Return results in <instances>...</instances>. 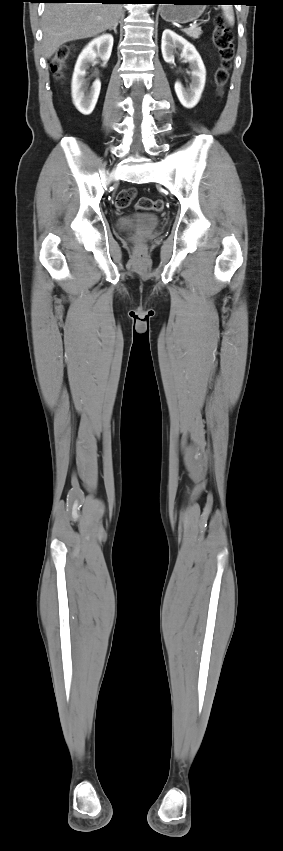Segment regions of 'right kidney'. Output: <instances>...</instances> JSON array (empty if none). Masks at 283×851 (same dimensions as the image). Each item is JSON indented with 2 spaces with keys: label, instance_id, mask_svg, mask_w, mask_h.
<instances>
[{
  "label": "right kidney",
  "instance_id": "obj_1",
  "mask_svg": "<svg viewBox=\"0 0 283 851\" xmlns=\"http://www.w3.org/2000/svg\"><path fill=\"white\" fill-rule=\"evenodd\" d=\"M113 47V37L110 34L101 35L93 39L82 50L79 55L72 77V98L75 107L83 115H89L95 108L101 89V82L96 79L90 89L85 79L90 65L100 57L104 62L108 61Z\"/></svg>",
  "mask_w": 283,
  "mask_h": 851
}]
</instances>
